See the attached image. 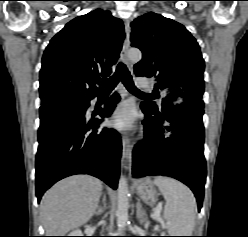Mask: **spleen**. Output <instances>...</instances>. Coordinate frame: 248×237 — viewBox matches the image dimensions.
<instances>
[{
  "label": "spleen",
  "mask_w": 248,
  "mask_h": 237,
  "mask_svg": "<svg viewBox=\"0 0 248 237\" xmlns=\"http://www.w3.org/2000/svg\"><path fill=\"white\" fill-rule=\"evenodd\" d=\"M153 183L158 186L166 200L164 219L170 236H191L197 208L191 190L168 177H156Z\"/></svg>",
  "instance_id": "1"
}]
</instances>
